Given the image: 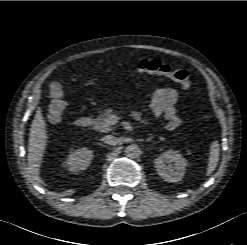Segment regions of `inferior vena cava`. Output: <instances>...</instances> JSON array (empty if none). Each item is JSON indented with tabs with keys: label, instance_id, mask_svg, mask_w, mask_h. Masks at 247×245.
Listing matches in <instances>:
<instances>
[{
	"label": "inferior vena cava",
	"instance_id": "inferior-vena-cava-1",
	"mask_svg": "<svg viewBox=\"0 0 247 245\" xmlns=\"http://www.w3.org/2000/svg\"><path fill=\"white\" fill-rule=\"evenodd\" d=\"M103 141L109 145H116L118 143V139L112 135H106Z\"/></svg>",
	"mask_w": 247,
	"mask_h": 245
}]
</instances>
